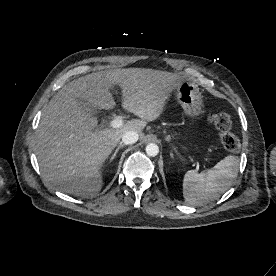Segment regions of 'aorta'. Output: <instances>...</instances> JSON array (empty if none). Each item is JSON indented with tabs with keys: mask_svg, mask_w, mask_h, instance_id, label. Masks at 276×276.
<instances>
[{
	"mask_svg": "<svg viewBox=\"0 0 276 276\" xmlns=\"http://www.w3.org/2000/svg\"><path fill=\"white\" fill-rule=\"evenodd\" d=\"M146 153L148 156L155 157L159 153V147L155 143H149L146 146Z\"/></svg>",
	"mask_w": 276,
	"mask_h": 276,
	"instance_id": "1",
	"label": "aorta"
}]
</instances>
